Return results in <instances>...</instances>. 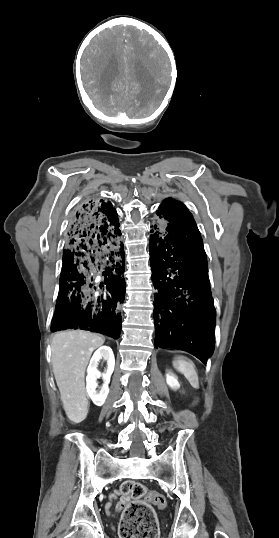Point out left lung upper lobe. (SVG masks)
<instances>
[{"instance_id": "1", "label": "left lung upper lobe", "mask_w": 279, "mask_h": 538, "mask_svg": "<svg viewBox=\"0 0 279 538\" xmlns=\"http://www.w3.org/2000/svg\"><path fill=\"white\" fill-rule=\"evenodd\" d=\"M156 213L161 219V222L157 224L159 226L179 224L197 227L186 206L174 199H165Z\"/></svg>"}]
</instances>
